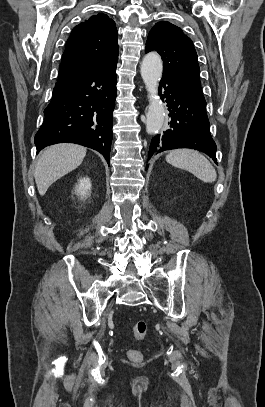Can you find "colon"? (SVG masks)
Instances as JSON below:
<instances>
[{
  "mask_svg": "<svg viewBox=\"0 0 265 407\" xmlns=\"http://www.w3.org/2000/svg\"><path fill=\"white\" fill-rule=\"evenodd\" d=\"M148 325L145 321H138L131 327V337L135 340H142L147 333ZM127 356L132 361H141L143 354L139 349H130Z\"/></svg>",
  "mask_w": 265,
  "mask_h": 407,
  "instance_id": "5ec220e1",
  "label": "colon"
}]
</instances>
